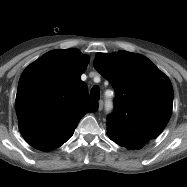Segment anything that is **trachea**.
<instances>
[{
  "mask_svg": "<svg viewBox=\"0 0 187 187\" xmlns=\"http://www.w3.org/2000/svg\"><path fill=\"white\" fill-rule=\"evenodd\" d=\"M100 98V90L98 86L92 87L90 91V100H99Z\"/></svg>",
  "mask_w": 187,
  "mask_h": 187,
  "instance_id": "obj_1",
  "label": "trachea"
}]
</instances>
